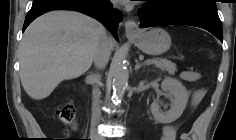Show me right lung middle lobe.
<instances>
[{
	"label": "right lung middle lobe",
	"mask_w": 236,
	"mask_h": 140,
	"mask_svg": "<svg viewBox=\"0 0 236 140\" xmlns=\"http://www.w3.org/2000/svg\"><path fill=\"white\" fill-rule=\"evenodd\" d=\"M96 4H100L102 0H93Z\"/></svg>",
	"instance_id": "right-lung-middle-lobe-1"
}]
</instances>
